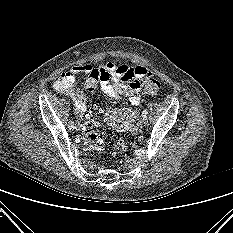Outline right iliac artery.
<instances>
[{"mask_svg": "<svg viewBox=\"0 0 233 233\" xmlns=\"http://www.w3.org/2000/svg\"><path fill=\"white\" fill-rule=\"evenodd\" d=\"M68 127H69L70 130L74 129V122L72 120L69 122V126Z\"/></svg>", "mask_w": 233, "mask_h": 233, "instance_id": "1", "label": "right iliac artery"}]
</instances>
